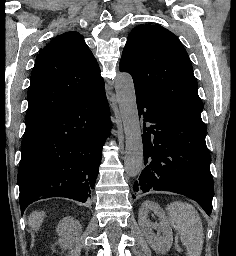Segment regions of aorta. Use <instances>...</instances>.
<instances>
[{"mask_svg":"<svg viewBox=\"0 0 236 256\" xmlns=\"http://www.w3.org/2000/svg\"><path fill=\"white\" fill-rule=\"evenodd\" d=\"M115 90L125 133L124 168L129 177H136L143 169V143L137 109L135 88L128 73L115 79Z\"/></svg>","mask_w":236,"mask_h":256,"instance_id":"1","label":"aorta"}]
</instances>
